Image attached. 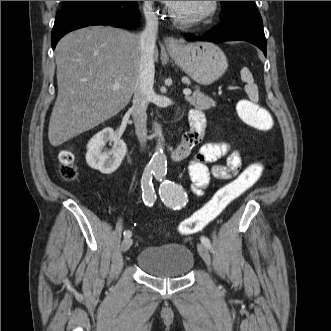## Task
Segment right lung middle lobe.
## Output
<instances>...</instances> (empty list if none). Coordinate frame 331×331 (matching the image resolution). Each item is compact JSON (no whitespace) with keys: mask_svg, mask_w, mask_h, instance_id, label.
<instances>
[{"mask_svg":"<svg viewBox=\"0 0 331 331\" xmlns=\"http://www.w3.org/2000/svg\"><path fill=\"white\" fill-rule=\"evenodd\" d=\"M96 1H63L62 10L72 8L77 5L91 3Z\"/></svg>","mask_w":331,"mask_h":331,"instance_id":"obj_1","label":"right lung middle lobe"}]
</instances>
